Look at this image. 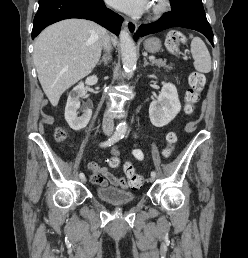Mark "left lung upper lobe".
<instances>
[{
  "label": "left lung upper lobe",
  "mask_w": 248,
  "mask_h": 258,
  "mask_svg": "<svg viewBox=\"0 0 248 258\" xmlns=\"http://www.w3.org/2000/svg\"><path fill=\"white\" fill-rule=\"evenodd\" d=\"M171 6L183 5L188 3H199L202 4L201 0H170Z\"/></svg>",
  "instance_id": "left-lung-upper-lobe-1"
}]
</instances>
